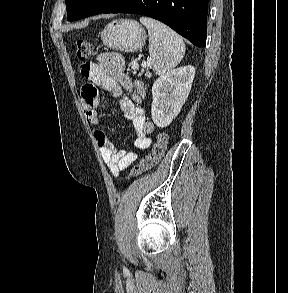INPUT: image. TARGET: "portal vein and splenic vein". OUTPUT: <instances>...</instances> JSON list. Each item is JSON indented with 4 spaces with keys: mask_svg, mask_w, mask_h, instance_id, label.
Returning <instances> with one entry per match:
<instances>
[{
    "mask_svg": "<svg viewBox=\"0 0 288 293\" xmlns=\"http://www.w3.org/2000/svg\"><path fill=\"white\" fill-rule=\"evenodd\" d=\"M150 65H151V58H149L147 60V63H142V66L145 67V68L149 67ZM138 68H139L138 64L135 63V64L132 65L133 70H136Z\"/></svg>",
    "mask_w": 288,
    "mask_h": 293,
    "instance_id": "portal-vein-and-splenic-vein-1",
    "label": "portal vein and splenic vein"
}]
</instances>
